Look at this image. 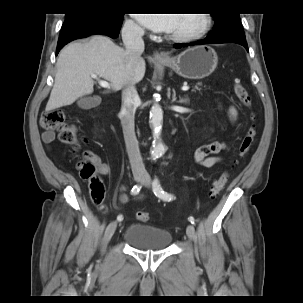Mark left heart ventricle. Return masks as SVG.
<instances>
[{"label":"left heart ventricle","mask_w":303,"mask_h":303,"mask_svg":"<svg viewBox=\"0 0 303 303\" xmlns=\"http://www.w3.org/2000/svg\"><path fill=\"white\" fill-rule=\"evenodd\" d=\"M201 24L202 19L197 14H178L171 33L190 32L199 28Z\"/></svg>","instance_id":"left-heart-ventricle-1"}]
</instances>
